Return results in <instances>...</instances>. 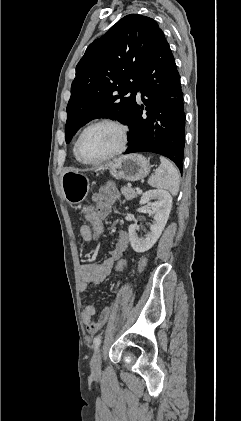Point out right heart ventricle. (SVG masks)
Segmentation results:
<instances>
[{"instance_id":"e07e8e85","label":"right heart ventricle","mask_w":241,"mask_h":421,"mask_svg":"<svg viewBox=\"0 0 241 421\" xmlns=\"http://www.w3.org/2000/svg\"><path fill=\"white\" fill-rule=\"evenodd\" d=\"M76 143H75V145H74V147H73V153H74V156H75V158L78 160V161H80L79 159H78V157H77V154H76Z\"/></svg>"}]
</instances>
